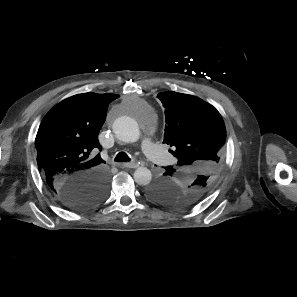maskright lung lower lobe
Masks as SVG:
<instances>
[{"instance_id": "98d812e1", "label": "right lung lower lobe", "mask_w": 297, "mask_h": 297, "mask_svg": "<svg viewBox=\"0 0 297 297\" xmlns=\"http://www.w3.org/2000/svg\"><path fill=\"white\" fill-rule=\"evenodd\" d=\"M107 189V173L92 172L80 176L52 193L66 207L80 210L100 203L105 198Z\"/></svg>"}]
</instances>
